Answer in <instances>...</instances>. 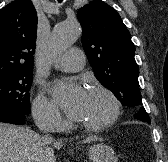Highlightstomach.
I'll use <instances>...</instances> for the list:
<instances>
[{
  "instance_id": "obj_1",
  "label": "stomach",
  "mask_w": 168,
  "mask_h": 162,
  "mask_svg": "<svg viewBox=\"0 0 168 162\" xmlns=\"http://www.w3.org/2000/svg\"><path fill=\"white\" fill-rule=\"evenodd\" d=\"M88 155L92 162H117L114 150L103 143L90 147Z\"/></svg>"
}]
</instances>
